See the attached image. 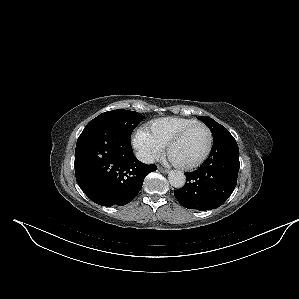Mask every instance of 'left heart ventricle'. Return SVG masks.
<instances>
[{
    "label": "left heart ventricle",
    "mask_w": 299,
    "mask_h": 299,
    "mask_svg": "<svg viewBox=\"0 0 299 299\" xmlns=\"http://www.w3.org/2000/svg\"><path fill=\"white\" fill-rule=\"evenodd\" d=\"M207 144L208 132L204 127L198 126L172 147L170 155L179 163H192L202 156Z\"/></svg>",
    "instance_id": "1"
}]
</instances>
